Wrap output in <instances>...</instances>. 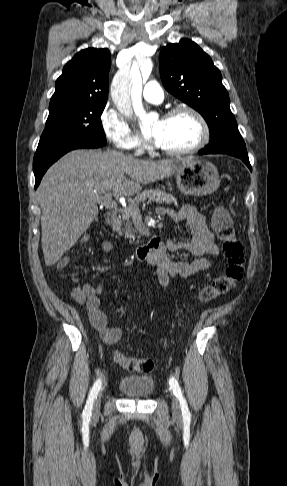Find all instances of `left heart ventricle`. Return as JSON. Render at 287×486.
Masks as SVG:
<instances>
[{
	"instance_id": "left-heart-ventricle-1",
	"label": "left heart ventricle",
	"mask_w": 287,
	"mask_h": 486,
	"mask_svg": "<svg viewBox=\"0 0 287 486\" xmlns=\"http://www.w3.org/2000/svg\"><path fill=\"white\" fill-rule=\"evenodd\" d=\"M151 137L162 148L179 150L197 143L200 137V128L191 115L181 114L154 123Z\"/></svg>"
}]
</instances>
